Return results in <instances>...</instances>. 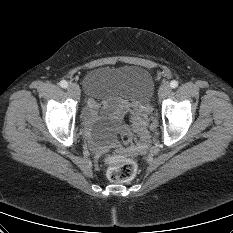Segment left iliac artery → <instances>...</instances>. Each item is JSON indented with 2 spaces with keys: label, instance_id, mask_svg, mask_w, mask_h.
I'll list each match as a JSON object with an SVG mask.
<instances>
[{
  "label": "left iliac artery",
  "instance_id": "44dca946",
  "mask_svg": "<svg viewBox=\"0 0 233 233\" xmlns=\"http://www.w3.org/2000/svg\"><path fill=\"white\" fill-rule=\"evenodd\" d=\"M178 86V82L176 81V80H172L171 82H170V87L171 88H176Z\"/></svg>",
  "mask_w": 233,
  "mask_h": 233
}]
</instances>
